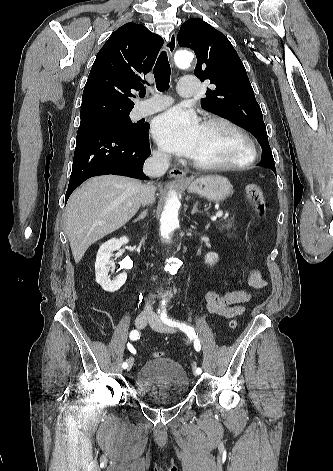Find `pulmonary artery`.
Wrapping results in <instances>:
<instances>
[{
	"label": "pulmonary artery",
	"instance_id": "pulmonary-artery-1",
	"mask_svg": "<svg viewBox=\"0 0 333 471\" xmlns=\"http://www.w3.org/2000/svg\"><path fill=\"white\" fill-rule=\"evenodd\" d=\"M198 90V81L194 76L183 77L178 84V92L183 97H189L196 94ZM172 100L167 97H155L141 103L137 108L139 116H146L158 112L171 104Z\"/></svg>",
	"mask_w": 333,
	"mask_h": 471
}]
</instances>
